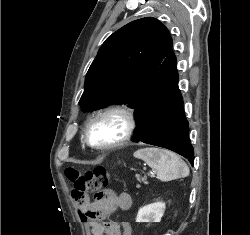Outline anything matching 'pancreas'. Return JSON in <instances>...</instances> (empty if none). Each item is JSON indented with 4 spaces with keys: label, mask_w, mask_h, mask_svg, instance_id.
Wrapping results in <instances>:
<instances>
[{
    "label": "pancreas",
    "mask_w": 250,
    "mask_h": 235,
    "mask_svg": "<svg viewBox=\"0 0 250 235\" xmlns=\"http://www.w3.org/2000/svg\"><path fill=\"white\" fill-rule=\"evenodd\" d=\"M138 180L141 181V182H143V183H145V184L148 183V182L146 181V178H138ZM137 187L139 188L140 185H137Z\"/></svg>",
    "instance_id": "obj_1"
}]
</instances>
